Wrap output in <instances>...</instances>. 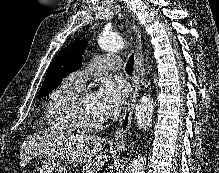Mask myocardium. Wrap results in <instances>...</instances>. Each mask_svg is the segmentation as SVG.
<instances>
[{
	"mask_svg": "<svg viewBox=\"0 0 219 173\" xmlns=\"http://www.w3.org/2000/svg\"><path fill=\"white\" fill-rule=\"evenodd\" d=\"M92 91L88 88L80 89L68 103V115L72 123L81 131H96L104 127L105 121L98 123L88 121L81 110L82 102L84 98L91 94Z\"/></svg>",
	"mask_w": 219,
	"mask_h": 173,
	"instance_id": "f54148a6",
	"label": "myocardium"
}]
</instances>
